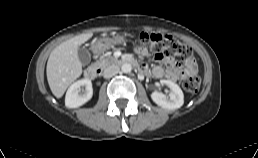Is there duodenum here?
I'll return each instance as SVG.
<instances>
[{
	"label": "duodenum",
	"instance_id": "duodenum-1",
	"mask_svg": "<svg viewBox=\"0 0 258 158\" xmlns=\"http://www.w3.org/2000/svg\"><path fill=\"white\" fill-rule=\"evenodd\" d=\"M94 53H98V51H94ZM117 63L119 64H129L135 67H139L138 62L132 58H128V59H120L117 61ZM102 73V68L100 66L94 65V66H90L88 68L85 69L84 71V76L86 79L88 80H94L96 79L100 74Z\"/></svg>",
	"mask_w": 258,
	"mask_h": 158
}]
</instances>
